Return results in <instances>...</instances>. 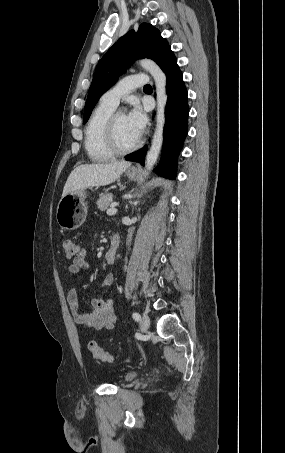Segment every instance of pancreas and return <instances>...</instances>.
Masks as SVG:
<instances>
[{"label":"pancreas","instance_id":"obj_1","mask_svg":"<svg viewBox=\"0 0 285 453\" xmlns=\"http://www.w3.org/2000/svg\"><path fill=\"white\" fill-rule=\"evenodd\" d=\"M113 195L111 193H106L99 198L97 201V206L101 211H105L109 206L112 200Z\"/></svg>","mask_w":285,"mask_h":453}]
</instances>
